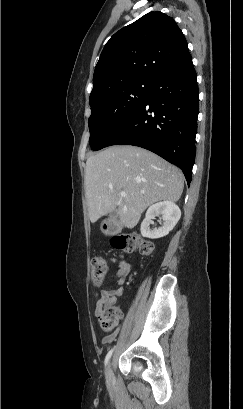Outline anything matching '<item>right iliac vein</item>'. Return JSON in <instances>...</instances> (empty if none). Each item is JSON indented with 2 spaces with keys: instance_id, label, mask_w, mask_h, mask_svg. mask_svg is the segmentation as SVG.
I'll return each mask as SVG.
<instances>
[{
  "instance_id": "63e3f726",
  "label": "right iliac vein",
  "mask_w": 243,
  "mask_h": 409,
  "mask_svg": "<svg viewBox=\"0 0 243 409\" xmlns=\"http://www.w3.org/2000/svg\"><path fill=\"white\" fill-rule=\"evenodd\" d=\"M107 376H108V379L110 381L113 379V369H112V363L111 362L108 364Z\"/></svg>"
}]
</instances>
